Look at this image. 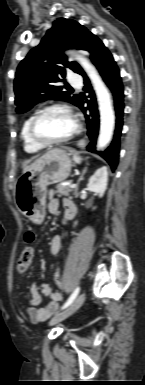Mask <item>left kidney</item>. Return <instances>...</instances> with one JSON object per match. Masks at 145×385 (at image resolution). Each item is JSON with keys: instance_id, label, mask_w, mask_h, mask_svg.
Instances as JSON below:
<instances>
[{"instance_id": "5707ae66", "label": "left kidney", "mask_w": 145, "mask_h": 385, "mask_svg": "<svg viewBox=\"0 0 145 385\" xmlns=\"http://www.w3.org/2000/svg\"><path fill=\"white\" fill-rule=\"evenodd\" d=\"M107 181L108 169L106 166H102L90 177L87 188L89 191L98 194L99 197H102L107 189Z\"/></svg>"}]
</instances>
